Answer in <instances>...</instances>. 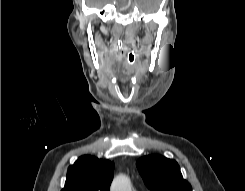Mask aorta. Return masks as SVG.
I'll return each instance as SVG.
<instances>
[{"mask_svg":"<svg viewBox=\"0 0 245 191\" xmlns=\"http://www.w3.org/2000/svg\"><path fill=\"white\" fill-rule=\"evenodd\" d=\"M110 191H132L130 179L123 174L116 176L111 184Z\"/></svg>","mask_w":245,"mask_h":191,"instance_id":"obj_1","label":"aorta"}]
</instances>
